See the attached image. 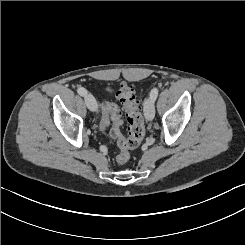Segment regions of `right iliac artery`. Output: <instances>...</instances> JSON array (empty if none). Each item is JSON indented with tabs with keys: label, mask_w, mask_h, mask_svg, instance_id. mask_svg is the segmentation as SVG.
<instances>
[{
	"label": "right iliac artery",
	"mask_w": 245,
	"mask_h": 245,
	"mask_svg": "<svg viewBox=\"0 0 245 245\" xmlns=\"http://www.w3.org/2000/svg\"><path fill=\"white\" fill-rule=\"evenodd\" d=\"M77 92L81 96H85L87 94V90L85 88H82V87L78 88Z\"/></svg>",
	"instance_id": "1"
}]
</instances>
